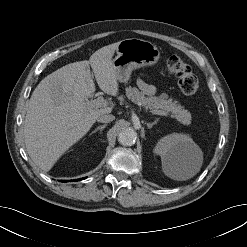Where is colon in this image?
<instances>
[{"instance_id":"obj_1","label":"colon","mask_w":247,"mask_h":247,"mask_svg":"<svg viewBox=\"0 0 247 247\" xmlns=\"http://www.w3.org/2000/svg\"><path fill=\"white\" fill-rule=\"evenodd\" d=\"M169 73L176 76L178 85L184 94L192 95L198 90V79L193 74L190 66L180 57L172 55L167 60Z\"/></svg>"}]
</instances>
